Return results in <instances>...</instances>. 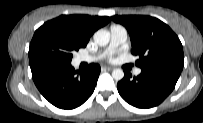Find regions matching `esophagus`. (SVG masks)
<instances>
[{
	"label": "esophagus",
	"instance_id": "34e87169",
	"mask_svg": "<svg viewBox=\"0 0 203 123\" xmlns=\"http://www.w3.org/2000/svg\"><path fill=\"white\" fill-rule=\"evenodd\" d=\"M113 69H114L113 67H109V66H103L102 67V70H105V71H111Z\"/></svg>",
	"mask_w": 203,
	"mask_h": 123
}]
</instances>
